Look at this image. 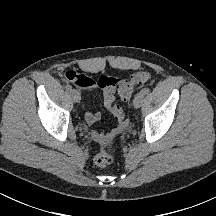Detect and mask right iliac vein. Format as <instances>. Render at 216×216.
Returning a JSON list of instances; mask_svg holds the SVG:
<instances>
[{"label":"right iliac vein","mask_w":216,"mask_h":216,"mask_svg":"<svg viewBox=\"0 0 216 216\" xmlns=\"http://www.w3.org/2000/svg\"><path fill=\"white\" fill-rule=\"evenodd\" d=\"M70 94H71V97H72L74 102H76V103L80 102L81 95H80L79 91L74 89V90L70 91Z\"/></svg>","instance_id":"right-iliac-vein-1"}]
</instances>
